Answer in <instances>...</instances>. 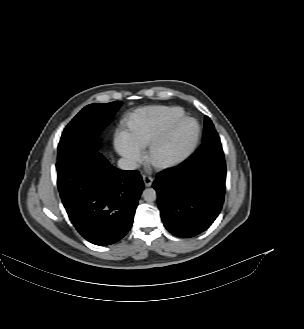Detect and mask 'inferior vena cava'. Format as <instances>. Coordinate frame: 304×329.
I'll return each mask as SVG.
<instances>
[{"instance_id": "1", "label": "inferior vena cava", "mask_w": 304, "mask_h": 329, "mask_svg": "<svg viewBox=\"0 0 304 329\" xmlns=\"http://www.w3.org/2000/svg\"><path fill=\"white\" fill-rule=\"evenodd\" d=\"M118 166L122 170H135L138 164L130 158H121L118 161Z\"/></svg>"}]
</instances>
